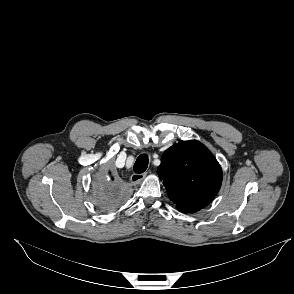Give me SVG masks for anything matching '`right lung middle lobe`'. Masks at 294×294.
I'll use <instances>...</instances> for the list:
<instances>
[{
	"label": "right lung middle lobe",
	"instance_id": "obj_1",
	"mask_svg": "<svg viewBox=\"0 0 294 294\" xmlns=\"http://www.w3.org/2000/svg\"><path fill=\"white\" fill-rule=\"evenodd\" d=\"M124 192L118 186L99 181L94 190L93 202L102 210H111L122 201Z\"/></svg>",
	"mask_w": 294,
	"mask_h": 294
}]
</instances>
